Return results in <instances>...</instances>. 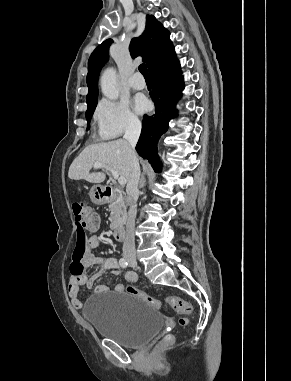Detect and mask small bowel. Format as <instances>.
Wrapping results in <instances>:
<instances>
[{
	"mask_svg": "<svg viewBox=\"0 0 291 381\" xmlns=\"http://www.w3.org/2000/svg\"><path fill=\"white\" fill-rule=\"evenodd\" d=\"M87 251L82 257V264L85 267H100L103 270L110 271L114 274L120 273V267L118 261L114 258L99 259L93 255L91 250L101 247V239L97 235H91L87 238ZM100 273H96L90 277H87L83 274H73L70 278L67 291L71 304L75 309H81L83 307V299L81 298L80 291L82 286L92 287L95 282L98 280ZM125 279L128 282L135 283L138 280V276L135 272H127L125 274ZM97 293H102L108 290V287L105 284H98L95 288ZM116 292H122L124 290V285L122 283L117 284L114 287Z\"/></svg>",
	"mask_w": 291,
	"mask_h": 381,
	"instance_id": "obj_1",
	"label": "small bowel"
}]
</instances>
